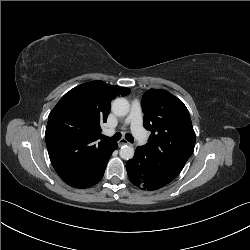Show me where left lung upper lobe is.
Here are the masks:
<instances>
[{"mask_svg":"<svg viewBox=\"0 0 250 250\" xmlns=\"http://www.w3.org/2000/svg\"><path fill=\"white\" fill-rule=\"evenodd\" d=\"M143 125L151 131L144 145L155 160H168L183 168L194 151L196 135L189 112L181 100L162 89L143 94Z\"/></svg>","mask_w":250,"mask_h":250,"instance_id":"5c2ea615","label":"left lung upper lobe"}]
</instances>
